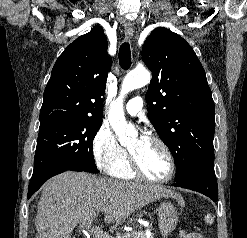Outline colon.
<instances>
[{"label": "colon", "instance_id": "5ec220e1", "mask_svg": "<svg viewBox=\"0 0 247 238\" xmlns=\"http://www.w3.org/2000/svg\"><path fill=\"white\" fill-rule=\"evenodd\" d=\"M180 238H203V236L197 232L182 230L179 234Z\"/></svg>", "mask_w": 247, "mask_h": 238}]
</instances>
